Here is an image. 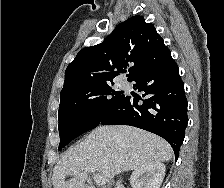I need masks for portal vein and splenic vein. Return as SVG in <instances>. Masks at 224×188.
Wrapping results in <instances>:
<instances>
[{"instance_id":"portal-vein-and-splenic-vein-1","label":"portal vein and splenic vein","mask_w":224,"mask_h":188,"mask_svg":"<svg viewBox=\"0 0 224 188\" xmlns=\"http://www.w3.org/2000/svg\"><path fill=\"white\" fill-rule=\"evenodd\" d=\"M96 170H97V169H96L95 167H89V168L87 169V171L92 172V173H95ZM75 174H77V172H74V175H75ZM94 180H95V182H96V184H97L98 186H103V185H105L106 182H107V178H106L105 176H103L102 174H99V173H96V174L94 175Z\"/></svg>"}]
</instances>
